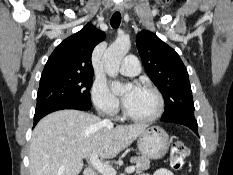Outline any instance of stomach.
Listing matches in <instances>:
<instances>
[{"instance_id":"1","label":"stomach","mask_w":233,"mask_h":175,"mask_svg":"<svg viewBox=\"0 0 233 175\" xmlns=\"http://www.w3.org/2000/svg\"><path fill=\"white\" fill-rule=\"evenodd\" d=\"M169 136L159 126L146 128L139 136L137 146L143 157L148 159H161L169 150Z\"/></svg>"}]
</instances>
